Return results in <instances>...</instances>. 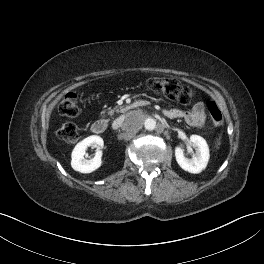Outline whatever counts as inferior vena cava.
I'll return each mask as SVG.
<instances>
[{
    "label": "inferior vena cava",
    "instance_id": "obj_1",
    "mask_svg": "<svg viewBox=\"0 0 264 264\" xmlns=\"http://www.w3.org/2000/svg\"><path fill=\"white\" fill-rule=\"evenodd\" d=\"M123 123H124V120H123L122 117H120V118L116 119V120L113 122V124H112V128H113V129H117V128L121 127V125H122Z\"/></svg>",
    "mask_w": 264,
    "mask_h": 264
}]
</instances>
